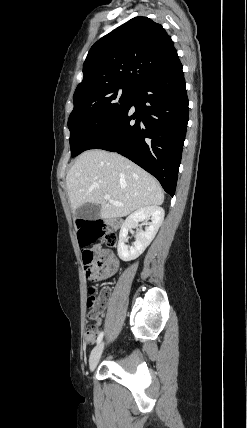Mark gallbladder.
Returning <instances> with one entry per match:
<instances>
[{
    "label": "gallbladder",
    "instance_id": "gallbladder-1",
    "mask_svg": "<svg viewBox=\"0 0 247 428\" xmlns=\"http://www.w3.org/2000/svg\"><path fill=\"white\" fill-rule=\"evenodd\" d=\"M101 206L99 204L87 203L76 210V215L87 221H94L100 217Z\"/></svg>",
    "mask_w": 247,
    "mask_h": 428
}]
</instances>
